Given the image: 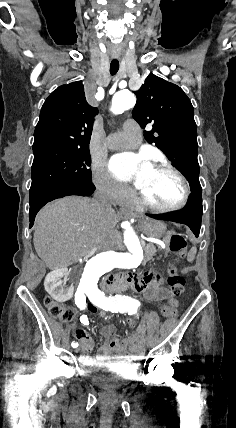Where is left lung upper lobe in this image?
I'll list each match as a JSON object with an SVG mask.
<instances>
[{"mask_svg":"<svg viewBox=\"0 0 236 428\" xmlns=\"http://www.w3.org/2000/svg\"><path fill=\"white\" fill-rule=\"evenodd\" d=\"M133 118L145 128L144 137L155 145L189 181L191 192L201 191L197 160V132L190 99L177 85L150 74L139 91Z\"/></svg>","mask_w":236,"mask_h":428,"instance_id":"obj_1","label":"left lung upper lobe"}]
</instances>
